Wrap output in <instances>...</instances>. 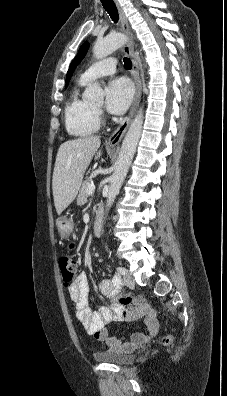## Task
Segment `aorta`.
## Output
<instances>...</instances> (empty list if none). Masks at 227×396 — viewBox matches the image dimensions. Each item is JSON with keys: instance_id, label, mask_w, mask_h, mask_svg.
Here are the masks:
<instances>
[{"instance_id": "1", "label": "aorta", "mask_w": 227, "mask_h": 396, "mask_svg": "<svg viewBox=\"0 0 227 396\" xmlns=\"http://www.w3.org/2000/svg\"><path fill=\"white\" fill-rule=\"evenodd\" d=\"M127 41L128 38L124 34L111 33L105 38L95 42L93 46V55L97 59H103L123 46ZM84 96L94 102H101L103 100V92L98 83H94L92 86L87 88L85 90ZM143 119L144 115L143 109L141 107L131 122L122 142L119 157L115 165V170L110 179L106 210H109V208L112 206L127 175L141 135Z\"/></svg>"}]
</instances>
